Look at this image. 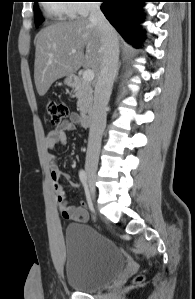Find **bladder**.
<instances>
[{
  "mask_svg": "<svg viewBox=\"0 0 195 299\" xmlns=\"http://www.w3.org/2000/svg\"><path fill=\"white\" fill-rule=\"evenodd\" d=\"M64 247L66 282L79 291L111 283L126 265L118 247L86 224L66 227Z\"/></svg>",
  "mask_w": 195,
  "mask_h": 299,
  "instance_id": "obj_1",
  "label": "bladder"
}]
</instances>
